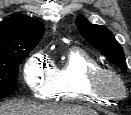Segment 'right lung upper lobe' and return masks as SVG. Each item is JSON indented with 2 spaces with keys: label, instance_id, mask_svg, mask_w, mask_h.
Returning <instances> with one entry per match:
<instances>
[{
  "label": "right lung upper lobe",
  "instance_id": "obj_1",
  "mask_svg": "<svg viewBox=\"0 0 131 115\" xmlns=\"http://www.w3.org/2000/svg\"><path fill=\"white\" fill-rule=\"evenodd\" d=\"M44 25L24 14H14L0 22V63L23 50L33 49L44 33Z\"/></svg>",
  "mask_w": 131,
  "mask_h": 115
}]
</instances>
